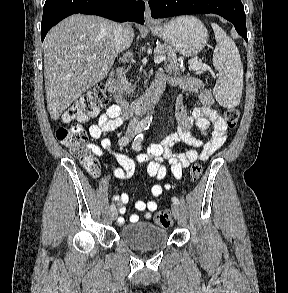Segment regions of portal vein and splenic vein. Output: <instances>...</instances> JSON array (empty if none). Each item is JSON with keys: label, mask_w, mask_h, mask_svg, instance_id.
<instances>
[{"label": "portal vein and splenic vein", "mask_w": 288, "mask_h": 293, "mask_svg": "<svg viewBox=\"0 0 288 293\" xmlns=\"http://www.w3.org/2000/svg\"><path fill=\"white\" fill-rule=\"evenodd\" d=\"M95 58H96L95 56H90L88 59L89 60H94ZM165 60H166V57L163 56V55H157L154 58V62L156 64H159V63H161V62H163ZM189 69L192 70V71H197V70H209V71H211V69L207 65L201 64V63H197V62L194 63L193 65H190L189 66Z\"/></svg>", "instance_id": "obj_1"}]
</instances>
